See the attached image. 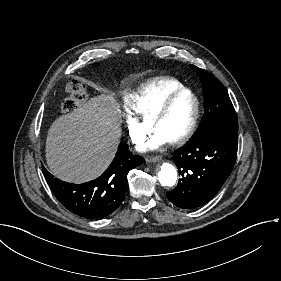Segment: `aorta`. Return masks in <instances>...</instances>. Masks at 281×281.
<instances>
[{
	"label": "aorta",
	"mask_w": 281,
	"mask_h": 281,
	"mask_svg": "<svg viewBox=\"0 0 281 281\" xmlns=\"http://www.w3.org/2000/svg\"><path fill=\"white\" fill-rule=\"evenodd\" d=\"M158 179L162 186H174L177 181V171L175 167L169 163H163L158 173Z\"/></svg>",
	"instance_id": "obj_1"
}]
</instances>
